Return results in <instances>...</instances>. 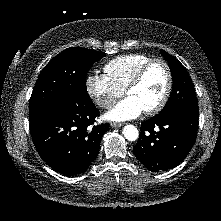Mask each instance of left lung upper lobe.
Returning <instances> with one entry per match:
<instances>
[{
  "instance_id": "1",
  "label": "left lung upper lobe",
  "mask_w": 221,
  "mask_h": 221,
  "mask_svg": "<svg viewBox=\"0 0 221 221\" xmlns=\"http://www.w3.org/2000/svg\"><path fill=\"white\" fill-rule=\"evenodd\" d=\"M166 58L173 80L171 95L160 113L172 110H185L193 113H199L198 102L195 96L192 80L184 66L173 56L160 50Z\"/></svg>"
}]
</instances>
